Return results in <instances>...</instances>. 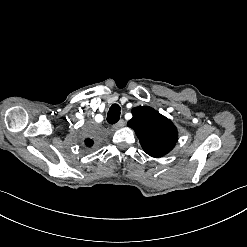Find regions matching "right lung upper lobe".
Instances as JSON below:
<instances>
[{
	"label": "right lung upper lobe",
	"mask_w": 247,
	"mask_h": 247,
	"mask_svg": "<svg viewBox=\"0 0 247 247\" xmlns=\"http://www.w3.org/2000/svg\"><path fill=\"white\" fill-rule=\"evenodd\" d=\"M85 144H86L87 146H92V145H93V140H91L90 138H87V139L85 140Z\"/></svg>",
	"instance_id": "cb5924a9"
}]
</instances>
